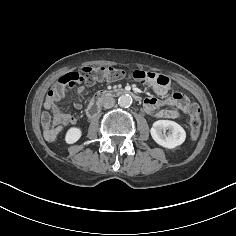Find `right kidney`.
Instances as JSON below:
<instances>
[{
  "label": "right kidney",
  "mask_w": 236,
  "mask_h": 236,
  "mask_svg": "<svg viewBox=\"0 0 236 236\" xmlns=\"http://www.w3.org/2000/svg\"><path fill=\"white\" fill-rule=\"evenodd\" d=\"M82 135V131L78 127H71L66 135H65V140L68 144H73L77 142Z\"/></svg>",
  "instance_id": "1"
}]
</instances>
